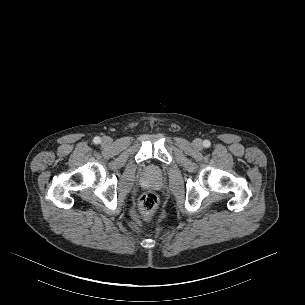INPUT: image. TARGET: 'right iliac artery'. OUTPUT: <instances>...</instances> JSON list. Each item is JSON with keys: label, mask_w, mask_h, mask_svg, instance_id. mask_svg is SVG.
<instances>
[{"label": "right iliac artery", "mask_w": 305, "mask_h": 305, "mask_svg": "<svg viewBox=\"0 0 305 305\" xmlns=\"http://www.w3.org/2000/svg\"><path fill=\"white\" fill-rule=\"evenodd\" d=\"M93 142L95 143V144H99L100 142H101V139H100V137H94V139H93Z\"/></svg>", "instance_id": "obj_1"}]
</instances>
